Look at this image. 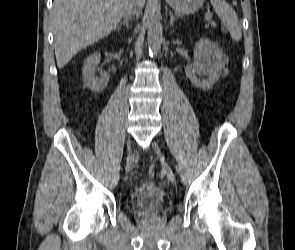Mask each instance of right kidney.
I'll return each mask as SVG.
<instances>
[{
	"instance_id": "obj_1",
	"label": "right kidney",
	"mask_w": 295,
	"mask_h": 250,
	"mask_svg": "<svg viewBox=\"0 0 295 250\" xmlns=\"http://www.w3.org/2000/svg\"><path fill=\"white\" fill-rule=\"evenodd\" d=\"M101 55L98 52H95L89 56L83 66V82L86 87L92 90L95 93L101 92L109 82V75L106 72H101V77H96V67L99 65Z\"/></svg>"
}]
</instances>
